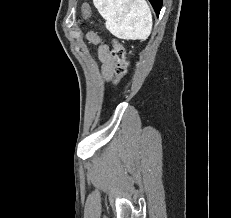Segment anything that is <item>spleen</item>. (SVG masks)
Wrapping results in <instances>:
<instances>
[{"label":"spleen","mask_w":231,"mask_h":218,"mask_svg":"<svg viewBox=\"0 0 231 218\" xmlns=\"http://www.w3.org/2000/svg\"><path fill=\"white\" fill-rule=\"evenodd\" d=\"M106 28L125 40H145L152 31V14L145 0H93Z\"/></svg>","instance_id":"obj_1"}]
</instances>
